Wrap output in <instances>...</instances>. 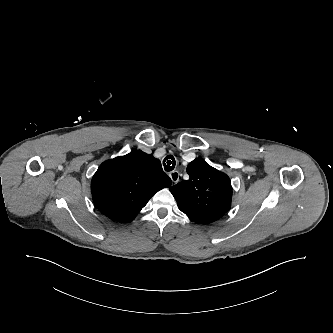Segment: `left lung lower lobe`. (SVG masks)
Returning a JSON list of instances; mask_svg holds the SVG:
<instances>
[{
	"label": "left lung lower lobe",
	"mask_w": 333,
	"mask_h": 333,
	"mask_svg": "<svg viewBox=\"0 0 333 333\" xmlns=\"http://www.w3.org/2000/svg\"><path fill=\"white\" fill-rule=\"evenodd\" d=\"M180 210L196 223H210L221 218L226 212L223 211H200L181 207Z\"/></svg>",
	"instance_id": "0a47b994"
}]
</instances>
